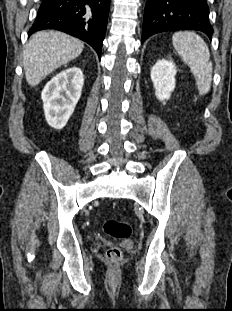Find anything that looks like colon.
Wrapping results in <instances>:
<instances>
[{
  "mask_svg": "<svg viewBox=\"0 0 232 311\" xmlns=\"http://www.w3.org/2000/svg\"><path fill=\"white\" fill-rule=\"evenodd\" d=\"M104 232L113 238L123 239L131 234V226L127 221L107 219L103 224ZM106 258L110 262H119L123 258V252L119 247H111L106 251Z\"/></svg>",
  "mask_w": 232,
  "mask_h": 311,
  "instance_id": "obj_1",
  "label": "colon"
}]
</instances>
